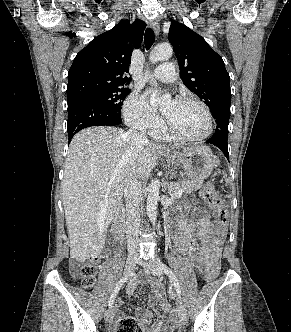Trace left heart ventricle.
<instances>
[{"label":"left heart ventricle","instance_id":"b2bd125f","mask_svg":"<svg viewBox=\"0 0 291 332\" xmlns=\"http://www.w3.org/2000/svg\"><path fill=\"white\" fill-rule=\"evenodd\" d=\"M161 110L168 123L181 134L199 136L206 131V116L196 103L169 100Z\"/></svg>","mask_w":291,"mask_h":332}]
</instances>
